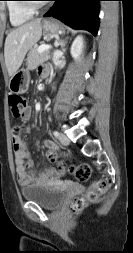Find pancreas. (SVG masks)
Masks as SVG:
<instances>
[{"label": "pancreas", "instance_id": "cf45deb5", "mask_svg": "<svg viewBox=\"0 0 133 253\" xmlns=\"http://www.w3.org/2000/svg\"><path fill=\"white\" fill-rule=\"evenodd\" d=\"M51 58L49 51H44L42 53L38 52V48H33L30 50L27 57V66L29 70L35 69L41 63L49 60Z\"/></svg>", "mask_w": 133, "mask_h": 253}]
</instances>
